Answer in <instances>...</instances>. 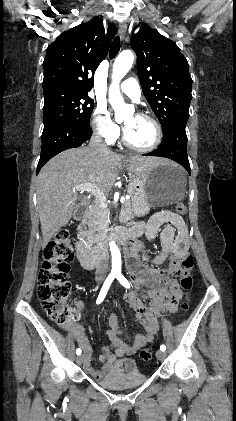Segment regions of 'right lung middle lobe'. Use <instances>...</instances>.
Returning <instances> with one entry per match:
<instances>
[{"instance_id": "obj_1", "label": "right lung middle lobe", "mask_w": 236, "mask_h": 421, "mask_svg": "<svg viewBox=\"0 0 236 421\" xmlns=\"http://www.w3.org/2000/svg\"><path fill=\"white\" fill-rule=\"evenodd\" d=\"M94 108L88 93L65 89H44V129L67 123L91 131L90 116Z\"/></svg>"}]
</instances>
